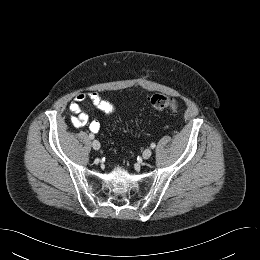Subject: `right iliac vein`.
<instances>
[{
  "label": "right iliac vein",
  "mask_w": 260,
  "mask_h": 260,
  "mask_svg": "<svg viewBox=\"0 0 260 260\" xmlns=\"http://www.w3.org/2000/svg\"><path fill=\"white\" fill-rule=\"evenodd\" d=\"M92 147L94 150H99L100 149V143L98 140H93L92 141Z\"/></svg>",
  "instance_id": "63e3f726"
}]
</instances>
